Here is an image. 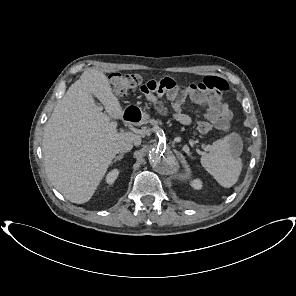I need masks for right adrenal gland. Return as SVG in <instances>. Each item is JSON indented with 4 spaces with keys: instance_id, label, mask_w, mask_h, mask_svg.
Listing matches in <instances>:
<instances>
[{
    "instance_id": "obj_1",
    "label": "right adrenal gland",
    "mask_w": 296,
    "mask_h": 296,
    "mask_svg": "<svg viewBox=\"0 0 296 296\" xmlns=\"http://www.w3.org/2000/svg\"><path fill=\"white\" fill-rule=\"evenodd\" d=\"M123 156H124L123 153L117 155V156L114 158V160L111 162V164H114V163H116L117 161H120V160L123 158Z\"/></svg>"
}]
</instances>
